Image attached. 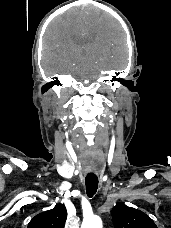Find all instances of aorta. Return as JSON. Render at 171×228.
<instances>
[{"mask_svg":"<svg viewBox=\"0 0 171 228\" xmlns=\"http://www.w3.org/2000/svg\"><path fill=\"white\" fill-rule=\"evenodd\" d=\"M81 228H102V221L97 216H92L83 220Z\"/></svg>","mask_w":171,"mask_h":228,"instance_id":"aorta-1","label":"aorta"}]
</instances>
